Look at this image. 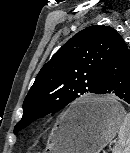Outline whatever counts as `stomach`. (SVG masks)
<instances>
[{"mask_svg": "<svg viewBox=\"0 0 130 153\" xmlns=\"http://www.w3.org/2000/svg\"><path fill=\"white\" fill-rule=\"evenodd\" d=\"M82 108L89 114L77 117L75 111ZM125 114L113 97L81 99L53 129L47 149L49 153H99L116 136Z\"/></svg>", "mask_w": 130, "mask_h": 153, "instance_id": "stomach-1", "label": "stomach"}]
</instances>
